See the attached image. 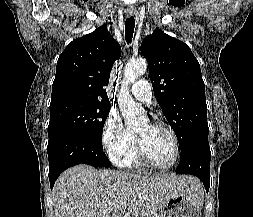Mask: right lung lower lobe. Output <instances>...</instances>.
I'll return each mask as SVG.
<instances>
[{"instance_id": "right-lung-lower-lobe-1", "label": "right lung lower lobe", "mask_w": 253, "mask_h": 217, "mask_svg": "<svg viewBox=\"0 0 253 217\" xmlns=\"http://www.w3.org/2000/svg\"><path fill=\"white\" fill-rule=\"evenodd\" d=\"M47 153L51 188L59 175L74 165L111 166L109 159L103 152L102 145L88 136L76 132H63L50 137Z\"/></svg>"}]
</instances>
